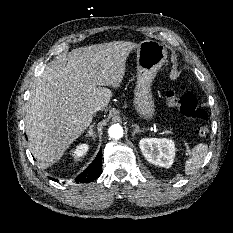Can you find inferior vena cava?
<instances>
[{"label": "inferior vena cava", "mask_w": 233, "mask_h": 233, "mask_svg": "<svg viewBox=\"0 0 233 233\" xmlns=\"http://www.w3.org/2000/svg\"><path fill=\"white\" fill-rule=\"evenodd\" d=\"M101 110V108L99 106L94 108V113H96L97 111Z\"/></svg>", "instance_id": "obj_1"}]
</instances>
